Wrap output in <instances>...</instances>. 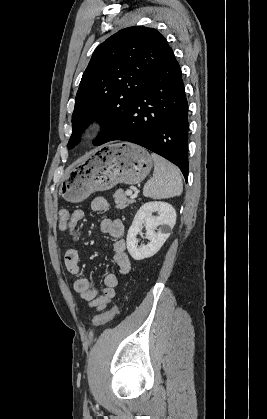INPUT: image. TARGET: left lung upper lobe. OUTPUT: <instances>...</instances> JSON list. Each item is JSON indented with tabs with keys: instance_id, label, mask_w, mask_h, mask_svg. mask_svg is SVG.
<instances>
[{
	"instance_id": "1",
	"label": "left lung upper lobe",
	"mask_w": 267,
	"mask_h": 419,
	"mask_svg": "<svg viewBox=\"0 0 267 419\" xmlns=\"http://www.w3.org/2000/svg\"><path fill=\"white\" fill-rule=\"evenodd\" d=\"M169 48L162 34L143 26L122 29L101 43L79 85L68 147L79 142L82 131L96 118L104 126L120 122Z\"/></svg>"
}]
</instances>
